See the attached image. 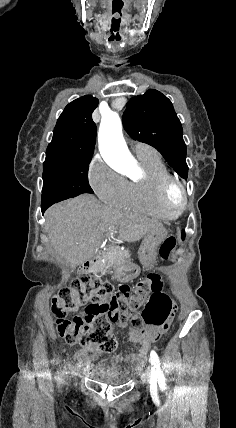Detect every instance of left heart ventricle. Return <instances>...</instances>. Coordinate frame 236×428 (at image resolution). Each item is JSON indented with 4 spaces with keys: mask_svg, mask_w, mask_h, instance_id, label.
I'll return each mask as SVG.
<instances>
[{
    "mask_svg": "<svg viewBox=\"0 0 236 428\" xmlns=\"http://www.w3.org/2000/svg\"><path fill=\"white\" fill-rule=\"evenodd\" d=\"M172 196H173V198H174L175 200H178V198H179V192H178V190H177V189H174V190H173V192H172Z\"/></svg>",
    "mask_w": 236,
    "mask_h": 428,
    "instance_id": "1",
    "label": "left heart ventricle"
}]
</instances>
